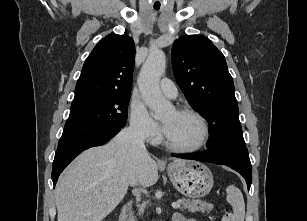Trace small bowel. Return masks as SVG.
Returning a JSON list of instances; mask_svg holds the SVG:
<instances>
[{"label": "small bowel", "instance_id": "obj_1", "mask_svg": "<svg viewBox=\"0 0 307 221\" xmlns=\"http://www.w3.org/2000/svg\"><path fill=\"white\" fill-rule=\"evenodd\" d=\"M173 221H195V220L187 219L182 214L177 213V214L174 215Z\"/></svg>", "mask_w": 307, "mask_h": 221}]
</instances>
